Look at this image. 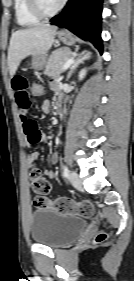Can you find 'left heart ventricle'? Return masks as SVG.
Returning a JSON list of instances; mask_svg holds the SVG:
<instances>
[{"label":"left heart ventricle","mask_w":134,"mask_h":281,"mask_svg":"<svg viewBox=\"0 0 134 281\" xmlns=\"http://www.w3.org/2000/svg\"><path fill=\"white\" fill-rule=\"evenodd\" d=\"M61 0H41L43 7L46 10L54 9Z\"/></svg>","instance_id":"left-heart-ventricle-1"}]
</instances>
